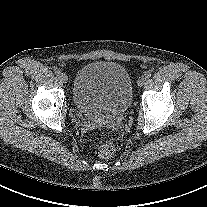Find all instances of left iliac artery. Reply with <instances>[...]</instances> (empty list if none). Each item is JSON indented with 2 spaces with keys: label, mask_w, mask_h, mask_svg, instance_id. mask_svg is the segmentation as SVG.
Returning <instances> with one entry per match:
<instances>
[{
  "label": "left iliac artery",
  "mask_w": 207,
  "mask_h": 207,
  "mask_svg": "<svg viewBox=\"0 0 207 207\" xmlns=\"http://www.w3.org/2000/svg\"><path fill=\"white\" fill-rule=\"evenodd\" d=\"M144 76L148 79L151 77V72L150 71H146Z\"/></svg>",
  "instance_id": "44dca946"
}]
</instances>
